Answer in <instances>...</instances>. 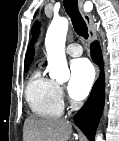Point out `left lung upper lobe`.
I'll return each mask as SVG.
<instances>
[{"instance_id":"obj_1","label":"left lung upper lobe","mask_w":119,"mask_h":141,"mask_svg":"<svg viewBox=\"0 0 119 141\" xmlns=\"http://www.w3.org/2000/svg\"><path fill=\"white\" fill-rule=\"evenodd\" d=\"M38 24H35L34 26H33V29H32V34H33V41H35V37L37 36V32H38Z\"/></svg>"}]
</instances>
